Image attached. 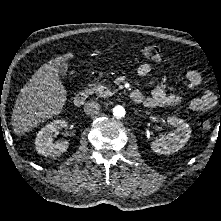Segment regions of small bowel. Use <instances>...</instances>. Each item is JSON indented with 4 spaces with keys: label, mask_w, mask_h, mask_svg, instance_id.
<instances>
[{
    "label": "small bowel",
    "mask_w": 221,
    "mask_h": 221,
    "mask_svg": "<svg viewBox=\"0 0 221 221\" xmlns=\"http://www.w3.org/2000/svg\"><path fill=\"white\" fill-rule=\"evenodd\" d=\"M151 70L152 66L149 63H142L139 65L137 73L141 77H146L150 74ZM185 77L187 86L191 89L201 84V75L196 70L188 71ZM140 94L141 99L137 103L150 108L176 106L184 101V98L181 95L169 93L161 86L153 87L149 95H144L142 92H140ZM187 104L192 111H205L214 106L215 95L212 92L207 91L201 96L190 99Z\"/></svg>",
    "instance_id": "small-bowel-1"
}]
</instances>
